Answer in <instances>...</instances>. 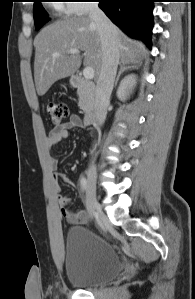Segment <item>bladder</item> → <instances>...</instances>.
I'll return each instance as SVG.
<instances>
[{
  "mask_svg": "<svg viewBox=\"0 0 195 299\" xmlns=\"http://www.w3.org/2000/svg\"><path fill=\"white\" fill-rule=\"evenodd\" d=\"M65 270L69 283L89 288L109 282L123 269L114 247L83 227H72L65 237Z\"/></svg>",
  "mask_w": 195,
  "mask_h": 299,
  "instance_id": "31cf9c89",
  "label": "bladder"
}]
</instances>
